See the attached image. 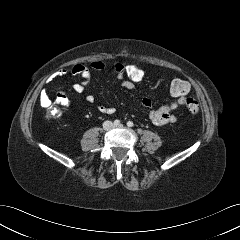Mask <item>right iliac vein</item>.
<instances>
[{"mask_svg":"<svg viewBox=\"0 0 240 240\" xmlns=\"http://www.w3.org/2000/svg\"><path fill=\"white\" fill-rule=\"evenodd\" d=\"M113 127V124L110 121L104 123L103 128L105 130H110Z\"/></svg>","mask_w":240,"mask_h":240,"instance_id":"obj_1","label":"right iliac vein"}]
</instances>
